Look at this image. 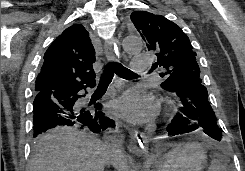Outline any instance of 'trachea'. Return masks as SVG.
<instances>
[{"instance_id":"3493384b","label":"trachea","mask_w":245,"mask_h":171,"mask_svg":"<svg viewBox=\"0 0 245 171\" xmlns=\"http://www.w3.org/2000/svg\"><path fill=\"white\" fill-rule=\"evenodd\" d=\"M114 73L124 79H131L137 76V74L124 67L122 64L110 62L105 66L104 73L101 75L99 81V86H108L112 81Z\"/></svg>"}]
</instances>
